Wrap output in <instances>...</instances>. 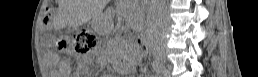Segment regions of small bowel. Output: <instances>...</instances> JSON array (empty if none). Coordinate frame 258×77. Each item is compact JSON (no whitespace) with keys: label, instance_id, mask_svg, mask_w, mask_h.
Instances as JSON below:
<instances>
[{"label":"small bowel","instance_id":"small-bowel-1","mask_svg":"<svg viewBox=\"0 0 258 77\" xmlns=\"http://www.w3.org/2000/svg\"><path fill=\"white\" fill-rule=\"evenodd\" d=\"M140 53L137 51H128L127 53V58L128 61L126 62V66H127V70L132 69L135 64L138 62L139 58H140ZM52 54H49V57H51ZM59 69L64 70L67 69V66L65 64L64 61L58 60L57 61ZM64 71H59V73H63Z\"/></svg>","mask_w":258,"mask_h":77}]
</instances>
